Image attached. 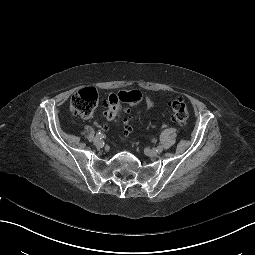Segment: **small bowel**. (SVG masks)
Here are the masks:
<instances>
[{"mask_svg":"<svg viewBox=\"0 0 255 255\" xmlns=\"http://www.w3.org/2000/svg\"><path fill=\"white\" fill-rule=\"evenodd\" d=\"M144 104H145L146 109H148V110L152 109L155 106L154 101L149 97H146L144 99Z\"/></svg>","mask_w":255,"mask_h":255,"instance_id":"obj_1","label":"small bowel"}]
</instances>
